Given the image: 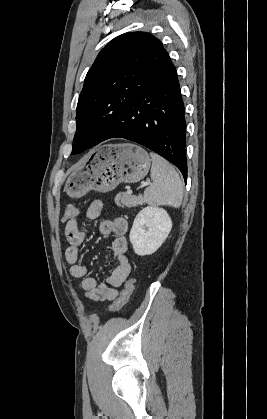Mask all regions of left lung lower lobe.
<instances>
[{
	"instance_id": "obj_1",
	"label": "left lung lower lobe",
	"mask_w": 267,
	"mask_h": 419,
	"mask_svg": "<svg viewBox=\"0 0 267 419\" xmlns=\"http://www.w3.org/2000/svg\"><path fill=\"white\" fill-rule=\"evenodd\" d=\"M115 137L151 149L177 166L187 180L185 107L169 55L122 116L101 125L91 147Z\"/></svg>"
}]
</instances>
